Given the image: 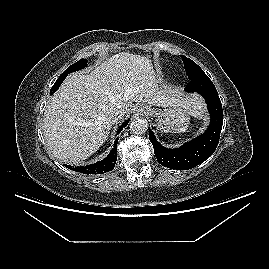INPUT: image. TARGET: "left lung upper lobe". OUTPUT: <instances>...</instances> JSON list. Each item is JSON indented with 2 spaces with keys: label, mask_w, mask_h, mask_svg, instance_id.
<instances>
[{
  "label": "left lung upper lobe",
  "mask_w": 269,
  "mask_h": 269,
  "mask_svg": "<svg viewBox=\"0 0 269 269\" xmlns=\"http://www.w3.org/2000/svg\"><path fill=\"white\" fill-rule=\"evenodd\" d=\"M182 60L184 63V68L186 70V74L188 75L190 80L197 79L202 76H207L203 70L191 59L182 56Z\"/></svg>",
  "instance_id": "left-lung-upper-lobe-1"
}]
</instances>
